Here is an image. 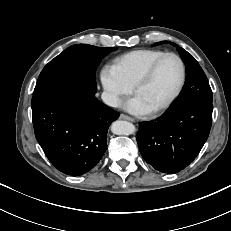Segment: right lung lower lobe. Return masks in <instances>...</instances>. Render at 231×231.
Instances as JSON below:
<instances>
[{
    "mask_svg": "<svg viewBox=\"0 0 231 231\" xmlns=\"http://www.w3.org/2000/svg\"><path fill=\"white\" fill-rule=\"evenodd\" d=\"M31 107L38 143L59 171L72 176L88 172L101 160L109 124L119 116L95 93L76 87L33 95Z\"/></svg>",
    "mask_w": 231,
    "mask_h": 231,
    "instance_id": "obj_1",
    "label": "right lung lower lobe"
}]
</instances>
